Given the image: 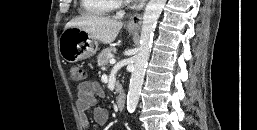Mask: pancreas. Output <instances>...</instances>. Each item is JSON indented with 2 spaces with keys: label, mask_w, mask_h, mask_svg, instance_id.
Here are the masks:
<instances>
[{
  "label": "pancreas",
  "mask_w": 257,
  "mask_h": 130,
  "mask_svg": "<svg viewBox=\"0 0 257 130\" xmlns=\"http://www.w3.org/2000/svg\"><path fill=\"white\" fill-rule=\"evenodd\" d=\"M114 53H116V48H114V47H109V48L103 49L97 57L98 66L105 67L106 65H108V63H109L110 59L113 57Z\"/></svg>",
  "instance_id": "obj_1"
}]
</instances>
